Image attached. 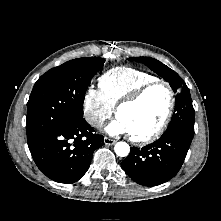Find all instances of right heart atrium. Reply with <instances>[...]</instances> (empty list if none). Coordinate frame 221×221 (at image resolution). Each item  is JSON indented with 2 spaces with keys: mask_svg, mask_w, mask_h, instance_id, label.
I'll return each instance as SVG.
<instances>
[{
  "mask_svg": "<svg viewBox=\"0 0 221 221\" xmlns=\"http://www.w3.org/2000/svg\"><path fill=\"white\" fill-rule=\"evenodd\" d=\"M113 107L107 102L102 92L89 87L83 98V115L93 128H100L111 117Z\"/></svg>",
  "mask_w": 221,
  "mask_h": 221,
  "instance_id": "d8ad5b80",
  "label": "right heart atrium"
}]
</instances>
